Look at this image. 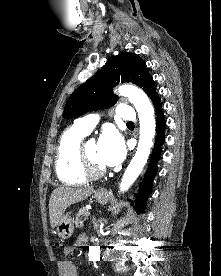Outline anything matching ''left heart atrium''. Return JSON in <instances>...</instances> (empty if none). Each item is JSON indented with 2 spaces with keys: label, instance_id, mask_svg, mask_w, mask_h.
Returning a JSON list of instances; mask_svg holds the SVG:
<instances>
[{
  "label": "left heart atrium",
  "instance_id": "left-heart-atrium-1",
  "mask_svg": "<svg viewBox=\"0 0 221 276\" xmlns=\"http://www.w3.org/2000/svg\"><path fill=\"white\" fill-rule=\"evenodd\" d=\"M98 158L105 166L119 164L125 156V145L120 134L112 129H107L98 141Z\"/></svg>",
  "mask_w": 221,
  "mask_h": 276
}]
</instances>
